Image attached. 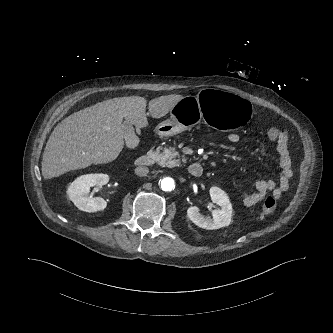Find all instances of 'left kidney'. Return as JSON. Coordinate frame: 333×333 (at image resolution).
Listing matches in <instances>:
<instances>
[{"mask_svg": "<svg viewBox=\"0 0 333 333\" xmlns=\"http://www.w3.org/2000/svg\"><path fill=\"white\" fill-rule=\"evenodd\" d=\"M210 196L214 203L221 206V210L212 211V219L204 218L195 206L187 210L188 218L198 227L213 230L230 225L232 218V205L227 194L218 187L210 188Z\"/></svg>", "mask_w": 333, "mask_h": 333, "instance_id": "1", "label": "left kidney"}]
</instances>
